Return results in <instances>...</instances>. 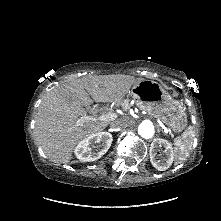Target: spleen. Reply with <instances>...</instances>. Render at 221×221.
Listing matches in <instances>:
<instances>
[{
  "label": "spleen",
  "instance_id": "obj_1",
  "mask_svg": "<svg viewBox=\"0 0 221 221\" xmlns=\"http://www.w3.org/2000/svg\"><path fill=\"white\" fill-rule=\"evenodd\" d=\"M194 132L191 127L185 130L181 137L174 140V151L177 158V163H181L189 156L193 145Z\"/></svg>",
  "mask_w": 221,
  "mask_h": 221
}]
</instances>
